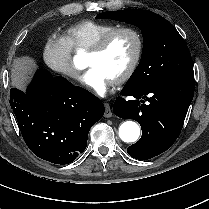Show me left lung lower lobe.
Returning <instances> with one entry per match:
<instances>
[{"label":"left lung lower lobe","mask_w":209,"mask_h":209,"mask_svg":"<svg viewBox=\"0 0 209 209\" xmlns=\"http://www.w3.org/2000/svg\"><path fill=\"white\" fill-rule=\"evenodd\" d=\"M121 95L132 100L117 97L114 114L136 120L142 128V137L127 152L133 158L147 160L169 149L179 136L194 95V72L148 85L126 84Z\"/></svg>","instance_id":"1"}]
</instances>
